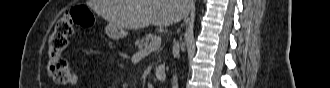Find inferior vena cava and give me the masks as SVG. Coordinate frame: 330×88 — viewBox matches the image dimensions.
Here are the masks:
<instances>
[{
  "mask_svg": "<svg viewBox=\"0 0 330 88\" xmlns=\"http://www.w3.org/2000/svg\"><path fill=\"white\" fill-rule=\"evenodd\" d=\"M187 16V14H186ZM179 52V43L175 42L173 45V53L176 54ZM172 88H178V80H177V76L174 75L173 79H172Z\"/></svg>",
  "mask_w": 330,
  "mask_h": 88,
  "instance_id": "obj_1",
  "label": "inferior vena cava"
}]
</instances>
